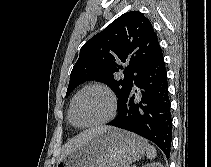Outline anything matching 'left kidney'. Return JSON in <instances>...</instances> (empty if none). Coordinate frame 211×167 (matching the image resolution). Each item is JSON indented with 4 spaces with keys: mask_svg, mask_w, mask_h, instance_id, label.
Returning a JSON list of instances; mask_svg holds the SVG:
<instances>
[{
    "mask_svg": "<svg viewBox=\"0 0 211 167\" xmlns=\"http://www.w3.org/2000/svg\"><path fill=\"white\" fill-rule=\"evenodd\" d=\"M143 167H163L161 164H151Z\"/></svg>",
    "mask_w": 211,
    "mask_h": 167,
    "instance_id": "left-kidney-1",
    "label": "left kidney"
}]
</instances>
